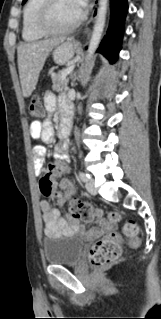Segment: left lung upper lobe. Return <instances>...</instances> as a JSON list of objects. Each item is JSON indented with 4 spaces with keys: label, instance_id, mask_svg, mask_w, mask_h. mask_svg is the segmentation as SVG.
Returning <instances> with one entry per match:
<instances>
[{
    "label": "left lung upper lobe",
    "instance_id": "left-lung-upper-lobe-1",
    "mask_svg": "<svg viewBox=\"0 0 161 319\" xmlns=\"http://www.w3.org/2000/svg\"><path fill=\"white\" fill-rule=\"evenodd\" d=\"M27 0H23V4L26 2Z\"/></svg>",
    "mask_w": 161,
    "mask_h": 319
}]
</instances>
